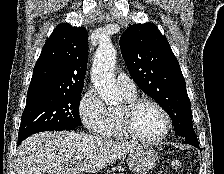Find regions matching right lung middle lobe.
<instances>
[{"label":"right lung middle lobe","mask_w":224,"mask_h":174,"mask_svg":"<svg viewBox=\"0 0 224 174\" xmlns=\"http://www.w3.org/2000/svg\"><path fill=\"white\" fill-rule=\"evenodd\" d=\"M82 91L27 95L18 137L43 131H60L81 126L79 105Z\"/></svg>","instance_id":"right-lung-middle-lobe-1"}]
</instances>
